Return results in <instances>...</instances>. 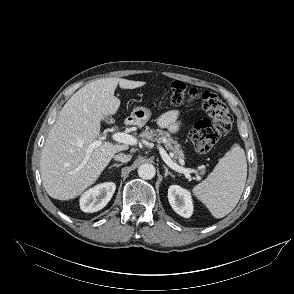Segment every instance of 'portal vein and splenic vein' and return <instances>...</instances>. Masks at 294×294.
Masks as SVG:
<instances>
[{
  "mask_svg": "<svg viewBox=\"0 0 294 294\" xmlns=\"http://www.w3.org/2000/svg\"><path fill=\"white\" fill-rule=\"evenodd\" d=\"M111 137L113 140H115L119 143L126 144V145H136L138 143V141L135 137H133L132 135L123 133V132H115L112 134ZM100 144H101V141L97 140L91 144V147H96V146H99ZM160 154H161L163 160L165 161V163L170 168H172L175 171L184 173L186 177L189 176V173L195 172L194 170L187 169V168H184V167L177 165L175 162H173V160L170 158V156L166 153V151L163 148H160Z\"/></svg>",
  "mask_w": 294,
  "mask_h": 294,
  "instance_id": "1",
  "label": "portal vein and splenic vein"
}]
</instances>
